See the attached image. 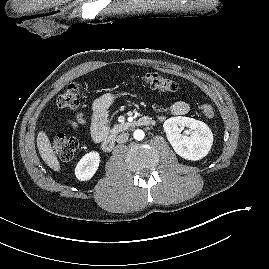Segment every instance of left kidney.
Masks as SVG:
<instances>
[{
    "instance_id": "5707ae66",
    "label": "left kidney",
    "mask_w": 269,
    "mask_h": 269,
    "mask_svg": "<svg viewBox=\"0 0 269 269\" xmlns=\"http://www.w3.org/2000/svg\"><path fill=\"white\" fill-rule=\"evenodd\" d=\"M185 127L192 131L190 136L181 134ZM163 128L174 151L184 159L200 160L212 147L213 134L202 121L183 116L171 117L164 122Z\"/></svg>"
}]
</instances>
